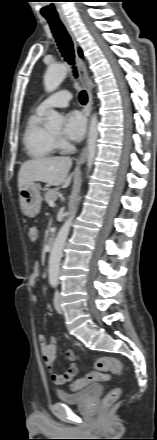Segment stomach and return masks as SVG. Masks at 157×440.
<instances>
[{
  "mask_svg": "<svg viewBox=\"0 0 157 440\" xmlns=\"http://www.w3.org/2000/svg\"><path fill=\"white\" fill-rule=\"evenodd\" d=\"M20 207L24 215L35 217L39 214L41 208V195L39 185L31 183L19 191Z\"/></svg>",
  "mask_w": 157,
  "mask_h": 440,
  "instance_id": "obj_1",
  "label": "stomach"
}]
</instances>
